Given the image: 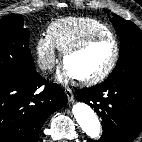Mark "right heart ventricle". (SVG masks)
Listing matches in <instances>:
<instances>
[{"label": "right heart ventricle", "mask_w": 142, "mask_h": 142, "mask_svg": "<svg viewBox=\"0 0 142 142\" xmlns=\"http://www.w3.org/2000/svg\"><path fill=\"white\" fill-rule=\"evenodd\" d=\"M93 34H112L104 23L90 17L70 16L57 19L47 27V36L60 52Z\"/></svg>", "instance_id": "obj_1"}]
</instances>
